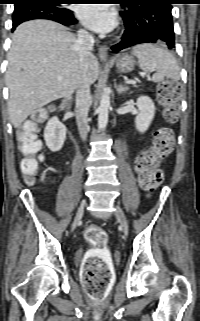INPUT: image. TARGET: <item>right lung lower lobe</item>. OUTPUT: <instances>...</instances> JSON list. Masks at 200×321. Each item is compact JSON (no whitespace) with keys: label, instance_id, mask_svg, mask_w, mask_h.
Listing matches in <instances>:
<instances>
[{"label":"right lung lower lobe","instance_id":"98d812e1","mask_svg":"<svg viewBox=\"0 0 200 321\" xmlns=\"http://www.w3.org/2000/svg\"><path fill=\"white\" fill-rule=\"evenodd\" d=\"M12 18V31L22 22L33 19L53 20L66 26L77 23L70 9L56 7L46 0H35L28 4L15 6Z\"/></svg>","mask_w":200,"mask_h":321}]
</instances>
